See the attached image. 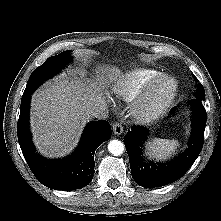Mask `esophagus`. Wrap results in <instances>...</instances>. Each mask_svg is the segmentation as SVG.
Here are the masks:
<instances>
[{"label": "esophagus", "instance_id": "obj_1", "mask_svg": "<svg viewBox=\"0 0 221 221\" xmlns=\"http://www.w3.org/2000/svg\"><path fill=\"white\" fill-rule=\"evenodd\" d=\"M113 132L116 135H120L123 133V127L120 123L116 122L113 124Z\"/></svg>", "mask_w": 221, "mask_h": 221}]
</instances>
